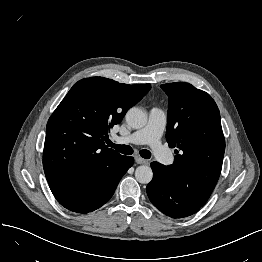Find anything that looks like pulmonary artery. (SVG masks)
<instances>
[{
  "mask_svg": "<svg viewBox=\"0 0 262 262\" xmlns=\"http://www.w3.org/2000/svg\"><path fill=\"white\" fill-rule=\"evenodd\" d=\"M167 116L163 109L153 107L148 115L146 125L134 133L117 138L120 144L149 145L158 161L169 165L173 162L172 155L161 143V137L166 126Z\"/></svg>",
  "mask_w": 262,
  "mask_h": 262,
  "instance_id": "obj_1",
  "label": "pulmonary artery"
}]
</instances>
